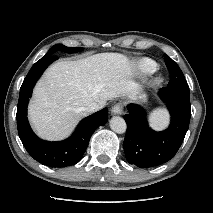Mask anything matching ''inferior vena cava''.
<instances>
[{"label": "inferior vena cava", "instance_id": "inferior-vena-cava-1", "mask_svg": "<svg viewBox=\"0 0 213 213\" xmlns=\"http://www.w3.org/2000/svg\"><path fill=\"white\" fill-rule=\"evenodd\" d=\"M100 108H101L100 104L92 102V103H89L86 107H84V110L86 112L91 113V112L100 110Z\"/></svg>", "mask_w": 213, "mask_h": 213}]
</instances>
